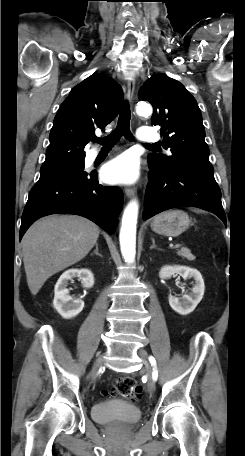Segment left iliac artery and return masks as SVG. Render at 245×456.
<instances>
[{
	"instance_id": "obj_1",
	"label": "left iliac artery",
	"mask_w": 245,
	"mask_h": 456,
	"mask_svg": "<svg viewBox=\"0 0 245 456\" xmlns=\"http://www.w3.org/2000/svg\"><path fill=\"white\" fill-rule=\"evenodd\" d=\"M149 361L151 363V366L153 367V372H152V378L154 381L157 380L158 378V370H157V366H156V360L153 356H150L149 357Z\"/></svg>"
}]
</instances>
